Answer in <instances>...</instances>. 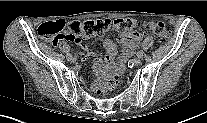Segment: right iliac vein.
I'll return each instance as SVG.
<instances>
[{"label":"right iliac vein","mask_w":207,"mask_h":123,"mask_svg":"<svg viewBox=\"0 0 207 123\" xmlns=\"http://www.w3.org/2000/svg\"><path fill=\"white\" fill-rule=\"evenodd\" d=\"M70 61L73 62V63H76L77 62V58L76 57H71Z\"/></svg>","instance_id":"63e3f726"}]
</instances>
